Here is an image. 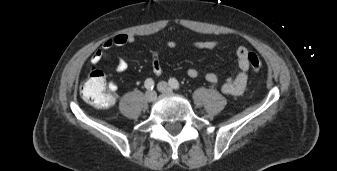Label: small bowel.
I'll return each mask as SVG.
<instances>
[{
	"instance_id": "1",
	"label": "small bowel",
	"mask_w": 337,
	"mask_h": 171,
	"mask_svg": "<svg viewBox=\"0 0 337 171\" xmlns=\"http://www.w3.org/2000/svg\"><path fill=\"white\" fill-rule=\"evenodd\" d=\"M136 39L132 34L120 33L116 34L112 38L107 39L103 45L94 52L91 57V65L98 66L102 60H107L112 63L113 68L116 72L122 73L128 69V62L124 58H118L114 60L109 51L113 47H123L135 43ZM166 47L170 49H175L177 47V42L175 40H167L165 43ZM220 43L215 40H200L192 43V46L196 49L201 50H213L216 49ZM249 51L246 47L240 46L236 49V59L238 64V71L233 76H228L225 78L224 83L221 86V90L225 94L238 96L244 93L247 79H248V70L250 67L248 61ZM151 66L152 71L155 75H160L162 73V66L159 60L158 52L153 51L151 55ZM187 75L190 78H199L201 76L200 72L197 69L190 68L187 71ZM205 79L211 84H217L219 77L214 72H208L205 74ZM108 89L115 95L118 86L115 82L109 81L107 83Z\"/></svg>"
}]
</instances>
